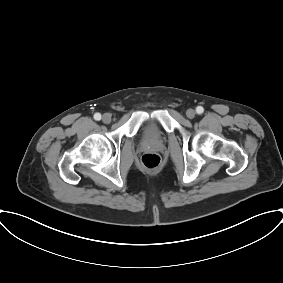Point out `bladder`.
Returning <instances> with one entry per match:
<instances>
[{"label": "bladder", "mask_w": 283, "mask_h": 283, "mask_svg": "<svg viewBox=\"0 0 283 283\" xmlns=\"http://www.w3.org/2000/svg\"><path fill=\"white\" fill-rule=\"evenodd\" d=\"M142 135L148 141L157 140L161 137V129L155 121L148 120L142 128Z\"/></svg>", "instance_id": "1"}]
</instances>
